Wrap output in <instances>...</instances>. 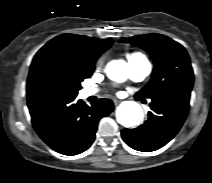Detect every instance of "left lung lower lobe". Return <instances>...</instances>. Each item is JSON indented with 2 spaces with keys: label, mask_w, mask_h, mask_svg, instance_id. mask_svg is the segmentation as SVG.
<instances>
[{
  "label": "left lung lower lobe",
  "mask_w": 212,
  "mask_h": 183,
  "mask_svg": "<svg viewBox=\"0 0 212 183\" xmlns=\"http://www.w3.org/2000/svg\"><path fill=\"white\" fill-rule=\"evenodd\" d=\"M136 98H139L136 95ZM148 120L135 129H123L122 138L131 148L150 152L167 144L180 130L189 111L190 95L151 98Z\"/></svg>",
  "instance_id": "obj_1"
}]
</instances>
